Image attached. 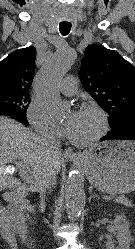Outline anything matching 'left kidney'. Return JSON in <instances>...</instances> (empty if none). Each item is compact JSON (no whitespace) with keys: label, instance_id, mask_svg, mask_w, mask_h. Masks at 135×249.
<instances>
[{"label":"left kidney","instance_id":"5707ae66","mask_svg":"<svg viewBox=\"0 0 135 249\" xmlns=\"http://www.w3.org/2000/svg\"><path fill=\"white\" fill-rule=\"evenodd\" d=\"M114 226L118 246L115 247L113 241L108 239L106 243V249H129L132 237L126 217L122 215L116 216L114 220Z\"/></svg>","mask_w":135,"mask_h":249}]
</instances>
